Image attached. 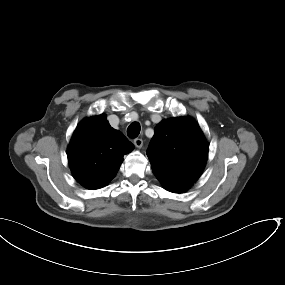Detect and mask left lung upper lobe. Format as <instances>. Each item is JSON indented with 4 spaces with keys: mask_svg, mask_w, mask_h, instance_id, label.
<instances>
[{
    "mask_svg": "<svg viewBox=\"0 0 285 285\" xmlns=\"http://www.w3.org/2000/svg\"><path fill=\"white\" fill-rule=\"evenodd\" d=\"M209 145L199 125L189 117L161 121L154 130L147 156L154 175L192 185L200 177Z\"/></svg>",
    "mask_w": 285,
    "mask_h": 285,
    "instance_id": "left-lung-upper-lobe-1",
    "label": "left lung upper lobe"
}]
</instances>
